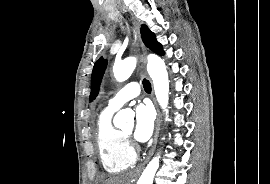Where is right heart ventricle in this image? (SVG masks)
I'll list each match as a JSON object with an SVG mask.
<instances>
[{
  "label": "right heart ventricle",
  "instance_id": "e07e8e85",
  "mask_svg": "<svg viewBox=\"0 0 270 184\" xmlns=\"http://www.w3.org/2000/svg\"><path fill=\"white\" fill-rule=\"evenodd\" d=\"M114 110L105 108L97 120L96 141L101 163L109 173H119L130 167L136 154L122 131L112 125Z\"/></svg>",
  "mask_w": 270,
  "mask_h": 184
}]
</instances>
